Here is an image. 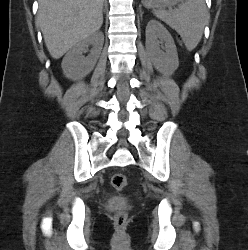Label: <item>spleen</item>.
I'll list each match as a JSON object with an SVG mask.
<instances>
[{"label": "spleen", "instance_id": "1", "mask_svg": "<svg viewBox=\"0 0 248 250\" xmlns=\"http://www.w3.org/2000/svg\"><path fill=\"white\" fill-rule=\"evenodd\" d=\"M153 13L176 30L188 50H193L198 45L204 27L209 22L204 0H185L174 10H154Z\"/></svg>", "mask_w": 248, "mask_h": 250}]
</instances>
